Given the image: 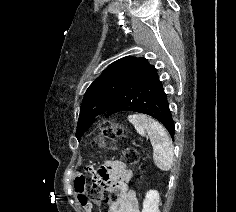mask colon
Returning a JSON list of instances; mask_svg holds the SVG:
<instances>
[{
	"instance_id": "5ec220e1",
	"label": "colon",
	"mask_w": 236,
	"mask_h": 212,
	"mask_svg": "<svg viewBox=\"0 0 236 212\" xmlns=\"http://www.w3.org/2000/svg\"><path fill=\"white\" fill-rule=\"evenodd\" d=\"M122 133L121 129L111 121H104L100 126V138L93 141L92 145L100 143L102 138H111ZM123 158L129 165L138 163L139 156L134 148H126ZM108 185L101 179L100 173H95L92 179L84 184V193L87 200L96 204L101 212H111L110 202L115 199V195L108 192Z\"/></svg>"
}]
</instances>
